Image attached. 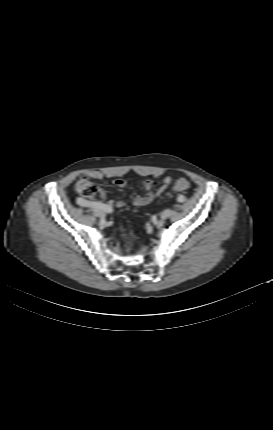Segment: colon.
I'll return each mask as SVG.
<instances>
[{"label": "colon", "instance_id": "colon-1", "mask_svg": "<svg viewBox=\"0 0 273 430\" xmlns=\"http://www.w3.org/2000/svg\"><path fill=\"white\" fill-rule=\"evenodd\" d=\"M189 183L187 180L181 179L177 180L173 186V194L187 190ZM76 192L83 197H93L98 189L96 184L87 175L82 176L75 185ZM119 233L122 237L127 240L126 249L131 248V243L129 241V233L127 230L121 228Z\"/></svg>", "mask_w": 273, "mask_h": 430}]
</instances>
